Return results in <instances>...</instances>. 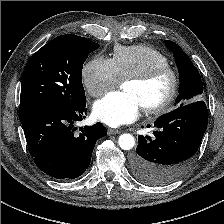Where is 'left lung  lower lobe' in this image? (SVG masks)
Returning a JSON list of instances; mask_svg holds the SVG:
<instances>
[{
    "label": "left lung lower lobe",
    "mask_w": 224,
    "mask_h": 224,
    "mask_svg": "<svg viewBox=\"0 0 224 224\" xmlns=\"http://www.w3.org/2000/svg\"><path fill=\"white\" fill-rule=\"evenodd\" d=\"M208 123L204 101L198 100L159 117L154 138L139 136L137 154L132 158L134 176L141 182L169 184L189 168Z\"/></svg>",
    "instance_id": "obj_1"
}]
</instances>
